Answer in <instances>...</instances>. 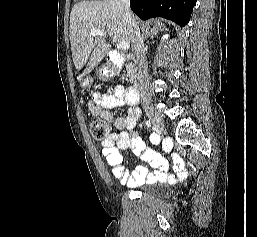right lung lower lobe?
Here are the masks:
<instances>
[{
	"label": "right lung lower lobe",
	"mask_w": 257,
	"mask_h": 237,
	"mask_svg": "<svg viewBox=\"0 0 257 237\" xmlns=\"http://www.w3.org/2000/svg\"><path fill=\"white\" fill-rule=\"evenodd\" d=\"M197 0H130L132 11L141 19L154 17L169 19L181 27L189 20Z\"/></svg>",
	"instance_id": "right-lung-lower-lobe-1"
}]
</instances>
